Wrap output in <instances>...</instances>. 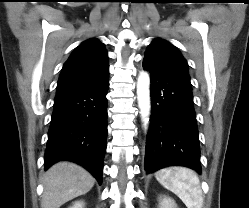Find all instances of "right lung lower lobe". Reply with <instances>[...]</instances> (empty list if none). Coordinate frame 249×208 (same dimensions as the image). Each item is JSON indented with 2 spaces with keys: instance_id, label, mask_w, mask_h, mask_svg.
I'll list each match as a JSON object with an SVG mask.
<instances>
[{
  "instance_id": "98d812e1",
  "label": "right lung lower lobe",
  "mask_w": 249,
  "mask_h": 208,
  "mask_svg": "<svg viewBox=\"0 0 249 208\" xmlns=\"http://www.w3.org/2000/svg\"><path fill=\"white\" fill-rule=\"evenodd\" d=\"M109 75L67 92H58L48 132L45 170L60 160L86 168L101 184L107 139Z\"/></svg>"
}]
</instances>
